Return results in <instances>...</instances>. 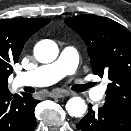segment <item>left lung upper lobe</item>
<instances>
[{"mask_svg": "<svg viewBox=\"0 0 131 131\" xmlns=\"http://www.w3.org/2000/svg\"><path fill=\"white\" fill-rule=\"evenodd\" d=\"M65 23L85 41L93 73L108 76L106 103L131 114V32L95 15L71 17Z\"/></svg>", "mask_w": 131, "mask_h": 131, "instance_id": "left-lung-upper-lobe-1", "label": "left lung upper lobe"}]
</instances>
